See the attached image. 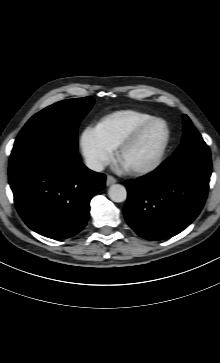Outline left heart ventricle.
Segmentation results:
<instances>
[{
    "mask_svg": "<svg viewBox=\"0 0 220 363\" xmlns=\"http://www.w3.org/2000/svg\"><path fill=\"white\" fill-rule=\"evenodd\" d=\"M166 135L163 123L150 126L120 157V163L134 168L151 162L157 155Z\"/></svg>",
    "mask_w": 220,
    "mask_h": 363,
    "instance_id": "obj_1",
    "label": "left heart ventricle"
}]
</instances>
